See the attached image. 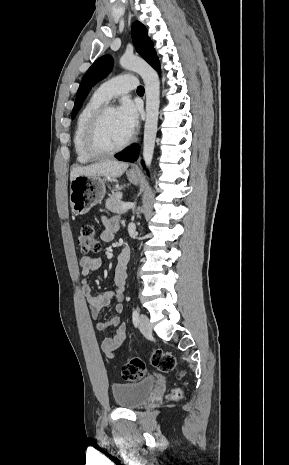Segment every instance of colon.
<instances>
[{
  "label": "colon",
  "mask_w": 289,
  "mask_h": 465,
  "mask_svg": "<svg viewBox=\"0 0 289 465\" xmlns=\"http://www.w3.org/2000/svg\"><path fill=\"white\" fill-rule=\"evenodd\" d=\"M78 245L83 252H92L96 251L100 247V243L96 237L94 227L89 224H83L80 229V234L78 237ZM153 366L160 372H170L176 367L175 357L161 349H157L153 352L151 358ZM121 376L123 379L128 381H137L142 379L146 374V364L140 358H133L126 362L121 367ZM178 392H174V396H178Z\"/></svg>",
  "instance_id": "5ec220e1"
}]
</instances>
